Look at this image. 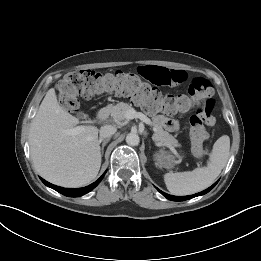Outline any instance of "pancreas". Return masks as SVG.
<instances>
[{
    "label": "pancreas",
    "mask_w": 261,
    "mask_h": 261,
    "mask_svg": "<svg viewBox=\"0 0 261 261\" xmlns=\"http://www.w3.org/2000/svg\"><path fill=\"white\" fill-rule=\"evenodd\" d=\"M111 116L113 119L117 121H123L125 119V113L129 109H131V105L124 103V102H119L116 105L108 106ZM154 134H153V140L156 142H161L166 146H174L177 147L179 146L178 141L167 131L163 130L162 126L155 121L152 123Z\"/></svg>",
    "instance_id": "pancreas-1"
}]
</instances>
